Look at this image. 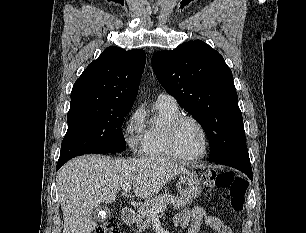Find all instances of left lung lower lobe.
<instances>
[{
	"label": "left lung lower lobe",
	"instance_id": "1",
	"mask_svg": "<svg viewBox=\"0 0 306 233\" xmlns=\"http://www.w3.org/2000/svg\"><path fill=\"white\" fill-rule=\"evenodd\" d=\"M216 164H223L233 168H236L245 173L252 180V168L249 159V155L236 156L214 161Z\"/></svg>",
	"mask_w": 306,
	"mask_h": 233
}]
</instances>
